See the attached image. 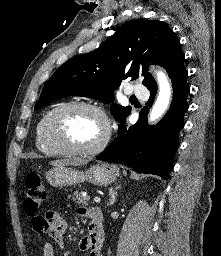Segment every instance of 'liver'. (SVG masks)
I'll return each instance as SVG.
<instances>
[{
	"instance_id": "1",
	"label": "liver",
	"mask_w": 221,
	"mask_h": 256,
	"mask_svg": "<svg viewBox=\"0 0 221 256\" xmlns=\"http://www.w3.org/2000/svg\"><path fill=\"white\" fill-rule=\"evenodd\" d=\"M87 161L79 158L73 159H63V160H54L51 161L50 164L54 167L62 166V165H83L86 164Z\"/></svg>"
}]
</instances>
